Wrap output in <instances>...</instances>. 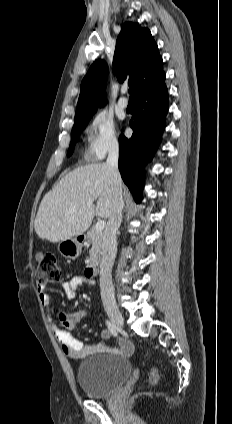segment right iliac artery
Returning a JSON list of instances; mask_svg holds the SVG:
<instances>
[{"instance_id":"obj_1","label":"right iliac artery","mask_w":232,"mask_h":424,"mask_svg":"<svg viewBox=\"0 0 232 424\" xmlns=\"http://www.w3.org/2000/svg\"><path fill=\"white\" fill-rule=\"evenodd\" d=\"M106 325H107L108 329L111 331V333L114 336H117V333H118L117 327L112 322H110L109 320H106Z\"/></svg>"}]
</instances>
